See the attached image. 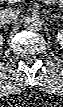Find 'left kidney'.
I'll use <instances>...</instances> for the list:
<instances>
[{
	"mask_svg": "<svg viewBox=\"0 0 63 107\" xmlns=\"http://www.w3.org/2000/svg\"><path fill=\"white\" fill-rule=\"evenodd\" d=\"M57 40L59 41L60 45H63V31L60 30L57 34Z\"/></svg>",
	"mask_w": 63,
	"mask_h": 107,
	"instance_id": "1",
	"label": "left kidney"
}]
</instances>
